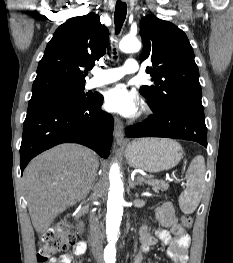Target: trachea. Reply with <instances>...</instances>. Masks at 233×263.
<instances>
[{
  "label": "trachea",
  "instance_id": "1",
  "mask_svg": "<svg viewBox=\"0 0 233 263\" xmlns=\"http://www.w3.org/2000/svg\"><path fill=\"white\" fill-rule=\"evenodd\" d=\"M127 14V5L124 2L117 1L116 2V9L114 13V22L116 25V34H118L122 28V25L124 23V20L126 18ZM116 54V52H114ZM115 58H117L115 56Z\"/></svg>",
  "mask_w": 233,
  "mask_h": 263
}]
</instances>
